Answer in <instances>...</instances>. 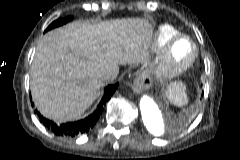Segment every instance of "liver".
<instances>
[{
    "label": "liver",
    "instance_id": "obj_1",
    "mask_svg": "<svg viewBox=\"0 0 240 160\" xmlns=\"http://www.w3.org/2000/svg\"><path fill=\"white\" fill-rule=\"evenodd\" d=\"M152 27L144 19L73 22L46 33L31 67V94L40 113L55 121L78 119L94 102L105 73L145 62Z\"/></svg>",
    "mask_w": 240,
    "mask_h": 160
}]
</instances>
